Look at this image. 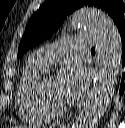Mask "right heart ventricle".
<instances>
[{
  "mask_svg": "<svg viewBox=\"0 0 125 128\" xmlns=\"http://www.w3.org/2000/svg\"><path fill=\"white\" fill-rule=\"evenodd\" d=\"M45 69L31 60L24 66L17 87V112L19 116L30 123H47L53 117L41 106L36 88Z\"/></svg>",
  "mask_w": 125,
  "mask_h": 128,
  "instance_id": "right-heart-ventricle-1",
  "label": "right heart ventricle"
}]
</instances>
